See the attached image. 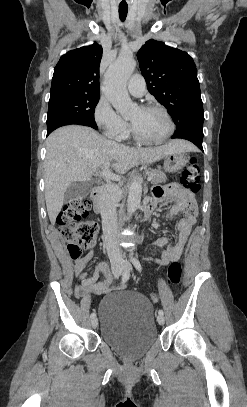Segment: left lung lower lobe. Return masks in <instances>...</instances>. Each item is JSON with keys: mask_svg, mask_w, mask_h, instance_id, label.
Masks as SVG:
<instances>
[{"mask_svg": "<svg viewBox=\"0 0 247 407\" xmlns=\"http://www.w3.org/2000/svg\"><path fill=\"white\" fill-rule=\"evenodd\" d=\"M175 138L189 140L203 151V122H192L180 127L172 136V139Z\"/></svg>", "mask_w": 247, "mask_h": 407, "instance_id": "0a47b994", "label": "left lung lower lobe"}]
</instances>
